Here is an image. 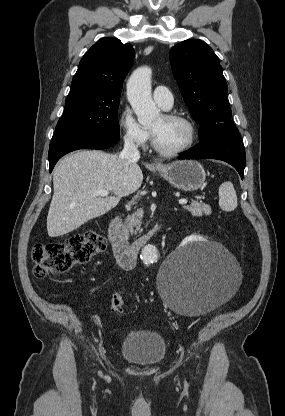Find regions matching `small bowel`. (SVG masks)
Segmentation results:
<instances>
[{
  "label": "small bowel",
  "mask_w": 285,
  "mask_h": 416,
  "mask_svg": "<svg viewBox=\"0 0 285 416\" xmlns=\"http://www.w3.org/2000/svg\"><path fill=\"white\" fill-rule=\"evenodd\" d=\"M91 322H92L94 325H96L97 327H99V328H101V327H102L101 320H100V318H99L97 315H93V316L91 317Z\"/></svg>",
  "instance_id": "obj_1"
}]
</instances>
